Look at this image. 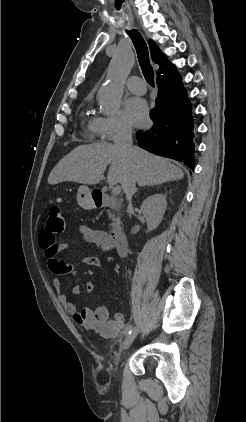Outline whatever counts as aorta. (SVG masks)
I'll return each instance as SVG.
<instances>
[{"instance_id": "762f6f07", "label": "aorta", "mask_w": 246, "mask_h": 422, "mask_svg": "<svg viewBox=\"0 0 246 422\" xmlns=\"http://www.w3.org/2000/svg\"><path fill=\"white\" fill-rule=\"evenodd\" d=\"M134 56L130 49H119L112 57L106 83L100 88L98 93L99 104L103 112L107 115L118 113L124 83L132 69Z\"/></svg>"}]
</instances>
